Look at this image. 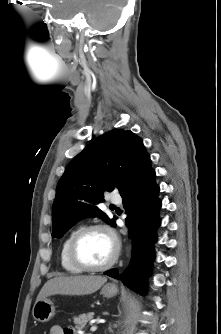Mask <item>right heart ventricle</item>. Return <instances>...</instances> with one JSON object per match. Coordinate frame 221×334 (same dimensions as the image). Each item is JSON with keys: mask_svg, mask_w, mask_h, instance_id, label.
Listing matches in <instances>:
<instances>
[{"mask_svg": "<svg viewBox=\"0 0 221 334\" xmlns=\"http://www.w3.org/2000/svg\"><path fill=\"white\" fill-rule=\"evenodd\" d=\"M76 233V230H72L63 240L60 250V263L62 268L70 273V274H79L82 273L83 270L75 266L70 258H69V244L71 242L72 237Z\"/></svg>", "mask_w": 221, "mask_h": 334, "instance_id": "right-heart-ventricle-1", "label": "right heart ventricle"}]
</instances>
